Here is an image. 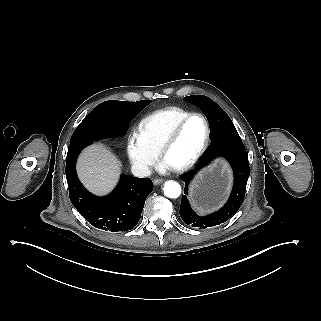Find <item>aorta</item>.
<instances>
[{"label":"aorta","instance_id":"762f6f07","mask_svg":"<svg viewBox=\"0 0 321 321\" xmlns=\"http://www.w3.org/2000/svg\"><path fill=\"white\" fill-rule=\"evenodd\" d=\"M163 190L168 198H178L181 194L180 184L173 180L166 181Z\"/></svg>","mask_w":321,"mask_h":321}]
</instances>
